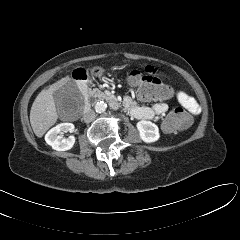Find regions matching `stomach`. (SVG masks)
Returning a JSON list of instances; mask_svg holds the SVG:
<instances>
[{
  "instance_id": "stomach-1",
  "label": "stomach",
  "mask_w": 240,
  "mask_h": 240,
  "mask_svg": "<svg viewBox=\"0 0 240 240\" xmlns=\"http://www.w3.org/2000/svg\"><path fill=\"white\" fill-rule=\"evenodd\" d=\"M104 69L102 67H93L91 69L92 76H101L104 74Z\"/></svg>"
}]
</instances>
